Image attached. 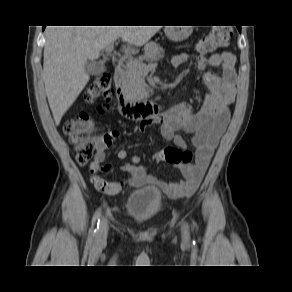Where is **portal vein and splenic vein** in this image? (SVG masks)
Wrapping results in <instances>:
<instances>
[{
  "label": "portal vein and splenic vein",
  "mask_w": 292,
  "mask_h": 292,
  "mask_svg": "<svg viewBox=\"0 0 292 292\" xmlns=\"http://www.w3.org/2000/svg\"><path fill=\"white\" fill-rule=\"evenodd\" d=\"M114 44H110L108 47H106L105 51L107 54H110L113 50ZM132 62V60H129L128 63ZM157 67V63H150L148 65H142L140 66V68L144 71V72H148L149 70L155 69Z\"/></svg>",
  "instance_id": "18ae733b"
}]
</instances>
